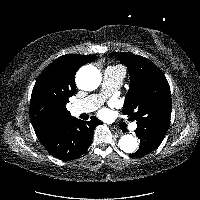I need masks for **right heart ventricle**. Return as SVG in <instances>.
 Segmentation results:
<instances>
[{
	"label": "right heart ventricle",
	"mask_w": 200,
	"mask_h": 200,
	"mask_svg": "<svg viewBox=\"0 0 200 200\" xmlns=\"http://www.w3.org/2000/svg\"><path fill=\"white\" fill-rule=\"evenodd\" d=\"M112 68L122 69V67H120V66H114V67H112Z\"/></svg>",
	"instance_id": "e07e8e85"
}]
</instances>
